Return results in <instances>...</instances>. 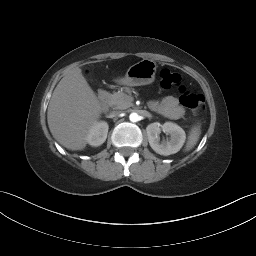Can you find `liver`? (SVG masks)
I'll return each mask as SVG.
<instances>
[{
	"label": "liver",
	"mask_w": 256,
	"mask_h": 256,
	"mask_svg": "<svg viewBox=\"0 0 256 256\" xmlns=\"http://www.w3.org/2000/svg\"><path fill=\"white\" fill-rule=\"evenodd\" d=\"M101 106L78 67L71 69L53 91L47 111L50 132L69 150H83Z\"/></svg>",
	"instance_id": "6515ba94"
}]
</instances>
